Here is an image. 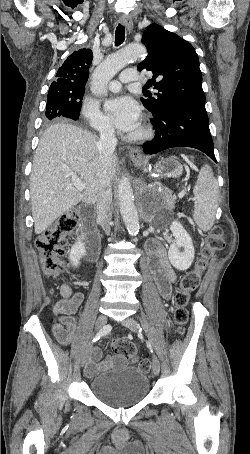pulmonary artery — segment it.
<instances>
[{
  "instance_id": "pulmonary-artery-1",
  "label": "pulmonary artery",
  "mask_w": 250,
  "mask_h": 454,
  "mask_svg": "<svg viewBox=\"0 0 250 454\" xmlns=\"http://www.w3.org/2000/svg\"><path fill=\"white\" fill-rule=\"evenodd\" d=\"M137 71L135 69H127L123 71L120 75L119 80H112L108 84V88L110 91L117 92L121 89L123 84L131 83L136 80H140Z\"/></svg>"
}]
</instances>
